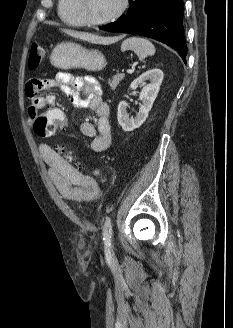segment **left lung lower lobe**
<instances>
[{
	"label": "left lung lower lobe",
	"instance_id": "0a47b994",
	"mask_svg": "<svg viewBox=\"0 0 233 328\" xmlns=\"http://www.w3.org/2000/svg\"><path fill=\"white\" fill-rule=\"evenodd\" d=\"M125 17L99 27L108 32L140 34L176 50L183 61L187 55L184 38L183 0H130Z\"/></svg>",
	"mask_w": 233,
	"mask_h": 328
}]
</instances>
